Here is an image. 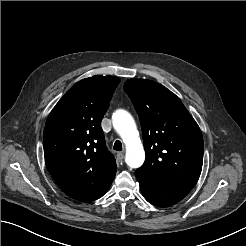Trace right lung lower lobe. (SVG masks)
I'll use <instances>...</instances> for the list:
<instances>
[{
	"instance_id": "1",
	"label": "right lung lower lobe",
	"mask_w": 246,
	"mask_h": 246,
	"mask_svg": "<svg viewBox=\"0 0 246 246\" xmlns=\"http://www.w3.org/2000/svg\"><path fill=\"white\" fill-rule=\"evenodd\" d=\"M107 190H102V191L91 190V191H81V192H69L66 194L68 196L72 197L73 199L78 200V201L89 202V201H93V200H96V199L102 197L107 192Z\"/></svg>"
}]
</instances>
